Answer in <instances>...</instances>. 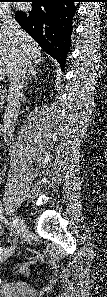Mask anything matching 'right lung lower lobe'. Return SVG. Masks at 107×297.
Masks as SVG:
<instances>
[{
	"label": "right lung lower lobe",
	"instance_id": "1",
	"mask_svg": "<svg viewBox=\"0 0 107 297\" xmlns=\"http://www.w3.org/2000/svg\"><path fill=\"white\" fill-rule=\"evenodd\" d=\"M75 0H33L32 10L15 13L16 21L58 61L62 70L70 50Z\"/></svg>",
	"mask_w": 107,
	"mask_h": 297
}]
</instances>
